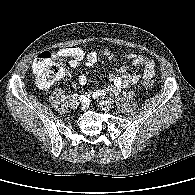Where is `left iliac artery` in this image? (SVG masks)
Listing matches in <instances>:
<instances>
[{
  "label": "left iliac artery",
  "instance_id": "44dca946",
  "mask_svg": "<svg viewBox=\"0 0 195 195\" xmlns=\"http://www.w3.org/2000/svg\"><path fill=\"white\" fill-rule=\"evenodd\" d=\"M108 102H110V103H114V100H113V99H110Z\"/></svg>",
  "mask_w": 195,
  "mask_h": 195
}]
</instances>
